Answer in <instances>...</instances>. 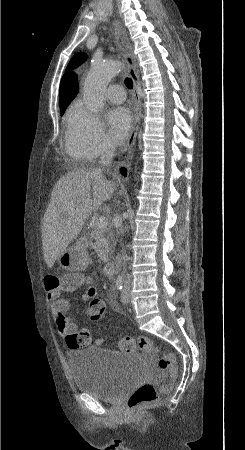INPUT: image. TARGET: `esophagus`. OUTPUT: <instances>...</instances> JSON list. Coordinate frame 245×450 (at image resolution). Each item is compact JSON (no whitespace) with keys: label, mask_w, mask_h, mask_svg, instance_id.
<instances>
[{"label":"esophagus","mask_w":245,"mask_h":450,"mask_svg":"<svg viewBox=\"0 0 245 450\" xmlns=\"http://www.w3.org/2000/svg\"><path fill=\"white\" fill-rule=\"evenodd\" d=\"M115 35H116V43L121 51L127 65L130 76L133 81V98L135 102V110H134V119L133 124L125 143L122 152L126 154H130L134 149L137 133L141 120V99L139 94V77L136 72V62L132 51V46L127 39V32L122 23L118 20L115 21Z\"/></svg>","instance_id":"obj_1"}]
</instances>
